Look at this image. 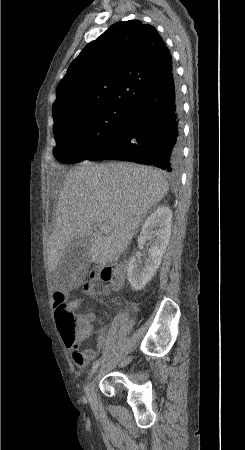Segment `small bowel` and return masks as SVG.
<instances>
[{"label":"small bowel","instance_id":"small-bowel-1","mask_svg":"<svg viewBox=\"0 0 245 450\" xmlns=\"http://www.w3.org/2000/svg\"><path fill=\"white\" fill-rule=\"evenodd\" d=\"M107 294L108 292H104V294ZM79 320L86 321L91 324L95 321V314L94 313H87L78 318ZM66 344V347L68 348L69 354L72 358V360L82 366H86L92 359L95 358L97 351H99L105 344V329L100 328L97 331V338L95 342L94 348H87L84 350H80V343H73V344ZM78 356L81 357V359H78Z\"/></svg>","mask_w":245,"mask_h":450}]
</instances>
